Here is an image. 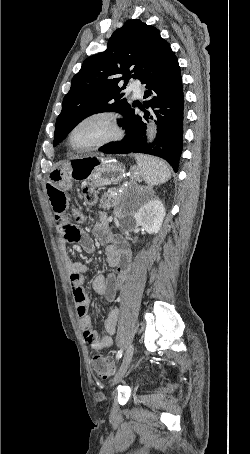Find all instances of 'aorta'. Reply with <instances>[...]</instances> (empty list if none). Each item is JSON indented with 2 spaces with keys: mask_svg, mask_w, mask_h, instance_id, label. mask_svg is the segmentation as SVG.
Segmentation results:
<instances>
[{
  "mask_svg": "<svg viewBox=\"0 0 250 454\" xmlns=\"http://www.w3.org/2000/svg\"><path fill=\"white\" fill-rule=\"evenodd\" d=\"M155 135H156V126L154 124H151L147 129L148 141L149 142L153 141Z\"/></svg>",
  "mask_w": 250,
  "mask_h": 454,
  "instance_id": "762f6f07",
  "label": "aorta"
}]
</instances>
